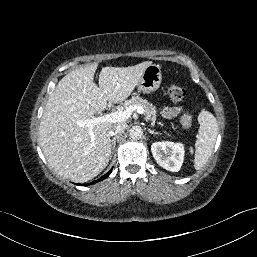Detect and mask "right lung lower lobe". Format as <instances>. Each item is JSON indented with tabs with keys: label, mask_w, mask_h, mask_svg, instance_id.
Segmentation results:
<instances>
[{
	"label": "right lung lower lobe",
	"mask_w": 257,
	"mask_h": 257,
	"mask_svg": "<svg viewBox=\"0 0 257 257\" xmlns=\"http://www.w3.org/2000/svg\"><path fill=\"white\" fill-rule=\"evenodd\" d=\"M111 173V170L109 172H107L105 175H103L101 178H99L98 180H95L93 182H91L90 184H93V183H97L99 181H102L103 179H105L106 177L109 176V174Z\"/></svg>",
	"instance_id": "obj_1"
}]
</instances>
